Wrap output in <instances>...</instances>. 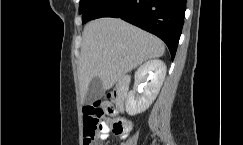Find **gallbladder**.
I'll return each mask as SVG.
<instances>
[{
  "label": "gallbladder",
  "mask_w": 243,
  "mask_h": 145,
  "mask_svg": "<svg viewBox=\"0 0 243 145\" xmlns=\"http://www.w3.org/2000/svg\"><path fill=\"white\" fill-rule=\"evenodd\" d=\"M104 95V89L102 81L99 77H94L88 87L86 97L84 99L85 104H90L94 100Z\"/></svg>",
  "instance_id": "1"
}]
</instances>
